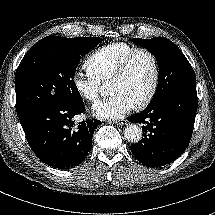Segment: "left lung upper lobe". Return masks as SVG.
Wrapping results in <instances>:
<instances>
[{
    "label": "left lung upper lobe",
    "instance_id": "obj_1",
    "mask_svg": "<svg viewBox=\"0 0 215 215\" xmlns=\"http://www.w3.org/2000/svg\"><path fill=\"white\" fill-rule=\"evenodd\" d=\"M132 41L149 50L158 63L159 82L150 104L172 91L196 84L190 63L173 42L163 37L150 40L135 38Z\"/></svg>",
    "mask_w": 215,
    "mask_h": 215
}]
</instances>
